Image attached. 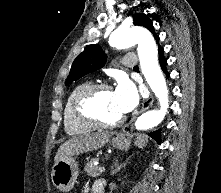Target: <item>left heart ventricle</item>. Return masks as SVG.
<instances>
[{"label":"left heart ventricle","instance_id":"b2bd125f","mask_svg":"<svg viewBox=\"0 0 221 193\" xmlns=\"http://www.w3.org/2000/svg\"><path fill=\"white\" fill-rule=\"evenodd\" d=\"M96 109L100 116L107 121H114L123 116L114 100L113 90L100 94L96 102Z\"/></svg>","mask_w":221,"mask_h":193}]
</instances>
